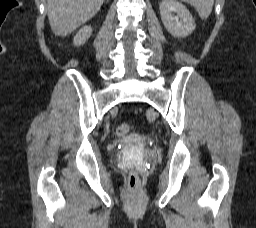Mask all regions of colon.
Returning <instances> with one entry per match:
<instances>
[{
    "label": "colon",
    "instance_id": "colon-1",
    "mask_svg": "<svg viewBox=\"0 0 256 228\" xmlns=\"http://www.w3.org/2000/svg\"><path fill=\"white\" fill-rule=\"evenodd\" d=\"M130 132V126L127 123H119L116 127V133L119 136H125ZM140 184V177L139 175L135 172L132 171L129 174V178H128V185L130 187V189H137L138 186Z\"/></svg>",
    "mask_w": 256,
    "mask_h": 228
}]
</instances>
